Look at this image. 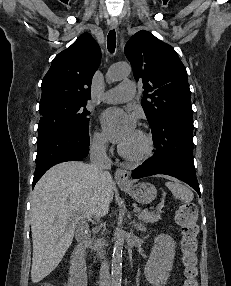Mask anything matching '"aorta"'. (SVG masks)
Segmentation results:
<instances>
[{
  "label": "aorta",
  "mask_w": 231,
  "mask_h": 286,
  "mask_svg": "<svg viewBox=\"0 0 231 286\" xmlns=\"http://www.w3.org/2000/svg\"><path fill=\"white\" fill-rule=\"evenodd\" d=\"M131 72V66L127 63H118L111 66L107 72V80L114 82L127 77ZM124 246V231L118 229L112 254V286H121L122 280V253Z\"/></svg>",
  "instance_id": "762f6f07"
}]
</instances>
